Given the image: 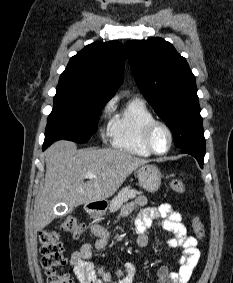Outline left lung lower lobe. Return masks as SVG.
<instances>
[{
	"label": "left lung lower lobe",
	"mask_w": 233,
	"mask_h": 283,
	"mask_svg": "<svg viewBox=\"0 0 233 283\" xmlns=\"http://www.w3.org/2000/svg\"><path fill=\"white\" fill-rule=\"evenodd\" d=\"M182 153L190 154L194 156L197 159L200 167L201 168L203 167L205 147L203 148L202 147H189V148L183 149Z\"/></svg>",
	"instance_id": "left-lung-lower-lobe-1"
}]
</instances>
